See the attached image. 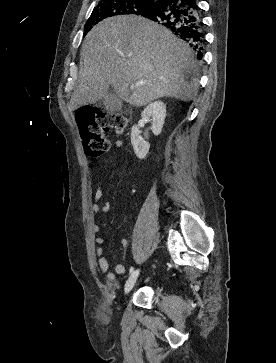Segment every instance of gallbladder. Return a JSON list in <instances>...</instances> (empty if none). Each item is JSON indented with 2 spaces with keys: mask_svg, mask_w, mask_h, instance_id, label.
<instances>
[{
  "mask_svg": "<svg viewBox=\"0 0 276 363\" xmlns=\"http://www.w3.org/2000/svg\"><path fill=\"white\" fill-rule=\"evenodd\" d=\"M99 103L110 112H118L122 109L121 100L112 91H109L107 95L99 101Z\"/></svg>",
  "mask_w": 276,
  "mask_h": 363,
  "instance_id": "1",
  "label": "gallbladder"
}]
</instances>
